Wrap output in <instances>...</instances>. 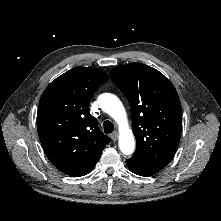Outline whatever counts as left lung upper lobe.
Here are the masks:
<instances>
[{
    "mask_svg": "<svg viewBox=\"0 0 221 221\" xmlns=\"http://www.w3.org/2000/svg\"><path fill=\"white\" fill-rule=\"evenodd\" d=\"M111 80L124 93L137 147L132 158L164 168L173 158L182 130V109L172 83L142 63L115 67Z\"/></svg>",
    "mask_w": 221,
    "mask_h": 221,
    "instance_id": "1",
    "label": "left lung upper lobe"
}]
</instances>
